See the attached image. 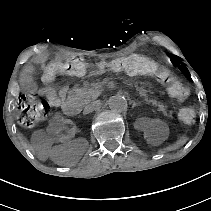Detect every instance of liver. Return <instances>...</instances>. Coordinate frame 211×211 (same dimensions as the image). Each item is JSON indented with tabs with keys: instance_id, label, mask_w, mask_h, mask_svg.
Wrapping results in <instances>:
<instances>
[{
	"instance_id": "6515ba94",
	"label": "liver",
	"mask_w": 211,
	"mask_h": 211,
	"mask_svg": "<svg viewBox=\"0 0 211 211\" xmlns=\"http://www.w3.org/2000/svg\"><path fill=\"white\" fill-rule=\"evenodd\" d=\"M19 139L31 152L35 153V150L32 147L31 143L29 142L27 137L24 136L21 132L19 133Z\"/></svg>"
}]
</instances>
